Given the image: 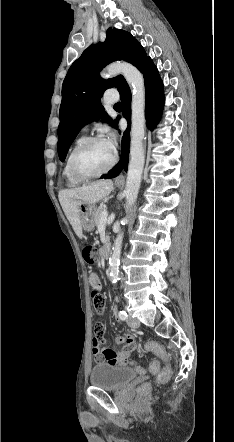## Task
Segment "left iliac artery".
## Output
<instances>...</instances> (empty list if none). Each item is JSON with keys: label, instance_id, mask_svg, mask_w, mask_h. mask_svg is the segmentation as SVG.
<instances>
[{"label": "left iliac artery", "instance_id": "44dca946", "mask_svg": "<svg viewBox=\"0 0 234 442\" xmlns=\"http://www.w3.org/2000/svg\"><path fill=\"white\" fill-rule=\"evenodd\" d=\"M118 316L121 320H126L127 319V313L124 310L119 311Z\"/></svg>", "mask_w": 234, "mask_h": 442}]
</instances>
